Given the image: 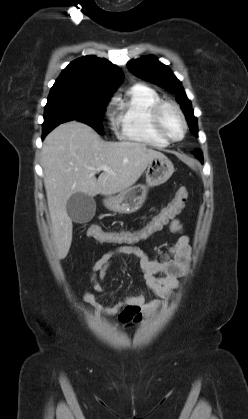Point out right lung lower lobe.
<instances>
[{
  "label": "right lung lower lobe",
  "mask_w": 248,
  "mask_h": 419,
  "mask_svg": "<svg viewBox=\"0 0 248 419\" xmlns=\"http://www.w3.org/2000/svg\"><path fill=\"white\" fill-rule=\"evenodd\" d=\"M59 125V124H58ZM58 125H52V126H48V127H44L43 128V133H42V139H44V137L52 130L54 129L56 126Z\"/></svg>",
  "instance_id": "1"
}]
</instances>
